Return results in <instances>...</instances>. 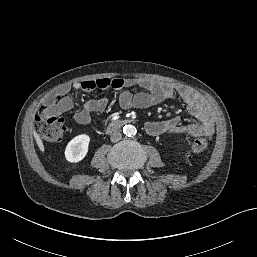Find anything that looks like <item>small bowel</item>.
<instances>
[{"mask_svg":"<svg viewBox=\"0 0 257 257\" xmlns=\"http://www.w3.org/2000/svg\"><path fill=\"white\" fill-rule=\"evenodd\" d=\"M142 88L144 91L133 94L131 89ZM113 88L118 91L120 102L125 109H142L166 100L180 98L184 101L189 114L196 119L195 123L180 126V118L173 117L164 121H150L146 124V132L149 135L157 136L162 134H185L188 136H207L214 133V124L209 110L203 100L188 89L175 86L167 82H158L147 79H122V78H99L63 85L58 89L57 94H66L71 89L91 92L95 89L105 90ZM109 104L107 97H99L84 101L83 108L74 113V120L81 125H88L92 122V113L103 112ZM73 101L70 98L57 105L60 112L68 111L72 108Z\"/></svg>","mask_w":257,"mask_h":257,"instance_id":"obj_1","label":"small bowel"}]
</instances>
